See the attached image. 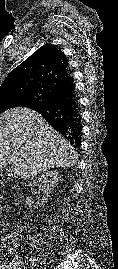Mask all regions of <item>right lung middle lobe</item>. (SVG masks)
Masks as SVG:
<instances>
[{
  "instance_id": "1",
  "label": "right lung middle lobe",
  "mask_w": 118,
  "mask_h": 269,
  "mask_svg": "<svg viewBox=\"0 0 118 269\" xmlns=\"http://www.w3.org/2000/svg\"><path fill=\"white\" fill-rule=\"evenodd\" d=\"M39 103L38 100L31 96H2L0 97V113L13 107H30Z\"/></svg>"
}]
</instances>
